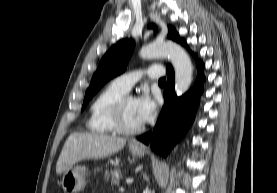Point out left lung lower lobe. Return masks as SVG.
<instances>
[{
	"label": "left lung lower lobe",
	"mask_w": 277,
	"mask_h": 193,
	"mask_svg": "<svg viewBox=\"0 0 277 193\" xmlns=\"http://www.w3.org/2000/svg\"><path fill=\"white\" fill-rule=\"evenodd\" d=\"M186 46V44H184ZM198 75L194 88L177 97L174 89V71L170 65L167 66L168 81L164 89L165 104L161 110L157 124L153 132H149L138 139L158 154L166 156L174 144L184 135L194 120L202 93V82L204 81L203 63L197 61Z\"/></svg>",
	"instance_id": "0a47b994"
}]
</instances>
